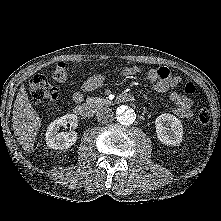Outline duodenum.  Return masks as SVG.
Returning <instances> with one entry per match:
<instances>
[{
	"label": "duodenum",
	"mask_w": 221,
	"mask_h": 221,
	"mask_svg": "<svg viewBox=\"0 0 221 221\" xmlns=\"http://www.w3.org/2000/svg\"><path fill=\"white\" fill-rule=\"evenodd\" d=\"M135 100V96L132 94H121L117 97V101L119 102H132ZM95 104H81L75 107V113L83 118H90L93 115Z\"/></svg>",
	"instance_id": "1"
}]
</instances>
